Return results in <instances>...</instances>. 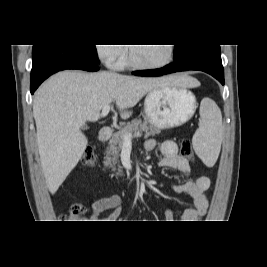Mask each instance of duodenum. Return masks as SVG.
Segmentation results:
<instances>
[{"label": "duodenum", "mask_w": 267, "mask_h": 267, "mask_svg": "<svg viewBox=\"0 0 267 267\" xmlns=\"http://www.w3.org/2000/svg\"><path fill=\"white\" fill-rule=\"evenodd\" d=\"M112 131L110 128H102L98 132V140L100 142H105L110 139Z\"/></svg>", "instance_id": "obj_1"}]
</instances>
